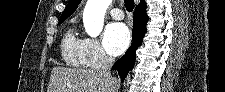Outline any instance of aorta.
<instances>
[{
	"label": "aorta",
	"mask_w": 225,
	"mask_h": 92,
	"mask_svg": "<svg viewBox=\"0 0 225 92\" xmlns=\"http://www.w3.org/2000/svg\"><path fill=\"white\" fill-rule=\"evenodd\" d=\"M111 0H88L83 12V23L87 34L97 37L103 28L105 12Z\"/></svg>",
	"instance_id": "762f6f07"
}]
</instances>
